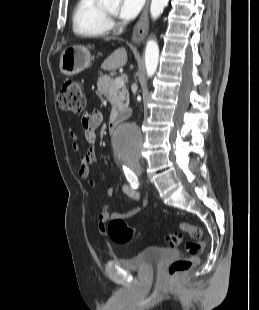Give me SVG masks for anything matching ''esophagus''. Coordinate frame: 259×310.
<instances>
[{"label": "esophagus", "mask_w": 259, "mask_h": 310, "mask_svg": "<svg viewBox=\"0 0 259 310\" xmlns=\"http://www.w3.org/2000/svg\"><path fill=\"white\" fill-rule=\"evenodd\" d=\"M150 0L146 1L145 7L141 14L140 19L136 23L133 29L132 41L136 44H140L147 35L148 32V8Z\"/></svg>", "instance_id": "34e87169"}]
</instances>
